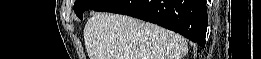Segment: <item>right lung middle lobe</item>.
Listing matches in <instances>:
<instances>
[{
  "label": "right lung middle lobe",
  "mask_w": 261,
  "mask_h": 59,
  "mask_svg": "<svg viewBox=\"0 0 261 59\" xmlns=\"http://www.w3.org/2000/svg\"><path fill=\"white\" fill-rule=\"evenodd\" d=\"M106 1L107 0H76L74 11L80 19H83L84 11L95 9Z\"/></svg>",
  "instance_id": "dd1d6c3e"
}]
</instances>
